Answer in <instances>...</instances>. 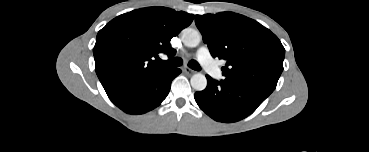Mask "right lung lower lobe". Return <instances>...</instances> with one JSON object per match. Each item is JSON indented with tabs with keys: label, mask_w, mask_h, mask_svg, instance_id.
<instances>
[{
	"label": "right lung lower lobe",
	"mask_w": 369,
	"mask_h": 152,
	"mask_svg": "<svg viewBox=\"0 0 369 152\" xmlns=\"http://www.w3.org/2000/svg\"><path fill=\"white\" fill-rule=\"evenodd\" d=\"M180 73V69L170 68L153 77L130 83L107 95L124 112L143 114L160 105L169 93L172 80Z\"/></svg>",
	"instance_id": "right-lung-lower-lobe-1"
}]
</instances>
